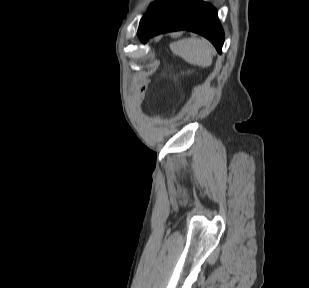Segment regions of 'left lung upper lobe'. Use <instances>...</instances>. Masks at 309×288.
Masks as SVG:
<instances>
[{
    "instance_id": "5c2ea615",
    "label": "left lung upper lobe",
    "mask_w": 309,
    "mask_h": 288,
    "mask_svg": "<svg viewBox=\"0 0 309 288\" xmlns=\"http://www.w3.org/2000/svg\"><path fill=\"white\" fill-rule=\"evenodd\" d=\"M157 2H154L151 4L149 11L142 17L141 21H140V25L141 26L142 22L144 21L145 17L148 15V13L150 12V10L152 9V7L156 4Z\"/></svg>"
}]
</instances>
